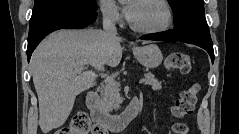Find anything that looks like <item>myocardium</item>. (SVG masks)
Returning <instances> with one entry per match:
<instances>
[{"label": "myocardium", "instance_id": "myocardium-1", "mask_svg": "<svg viewBox=\"0 0 239 134\" xmlns=\"http://www.w3.org/2000/svg\"><path fill=\"white\" fill-rule=\"evenodd\" d=\"M148 1H152L163 8V10L165 12L164 22L160 26L154 27V28L138 27V26L134 25L132 22H130L129 23L130 27L132 28V30H134L138 33H143V34H158V33H162L164 31H166L171 26L172 21H173V14H172L170 5L165 0H148Z\"/></svg>", "mask_w": 239, "mask_h": 134}]
</instances>
